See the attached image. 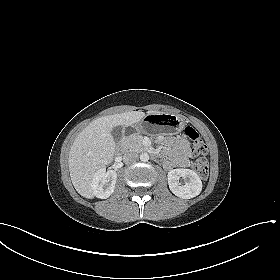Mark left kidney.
<instances>
[{
  "instance_id": "1",
  "label": "left kidney",
  "mask_w": 280,
  "mask_h": 280,
  "mask_svg": "<svg viewBox=\"0 0 280 280\" xmlns=\"http://www.w3.org/2000/svg\"><path fill=\"white\" fill-rule=\"evenodd\" d=\"M187 179L184 185L180 178ZM168 185L173 194L183 199L198 196L202 191V181L196 172L190 169H173L168 172Z\"/></svg>"
}]
</instances>
